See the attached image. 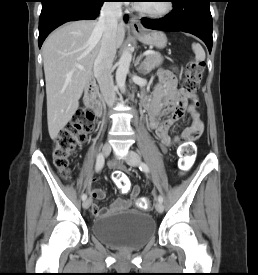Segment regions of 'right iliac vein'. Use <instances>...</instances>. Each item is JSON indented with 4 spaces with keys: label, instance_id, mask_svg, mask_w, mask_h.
I'll list each match as a JSON object with an SVG mask.
<instances>
[{
    "label": "right iliac vein",
    "instance_id": "63e3f726",
    "mask_svg": "<svg viewBox=\"0 0 258 275\" xmlns=\"http://www.w3.org/2000/svg\"><path fill=\"white\" fill-rule=\"evenodd\" d=\"M110 152H111V145L108 142H106L102 147V154L106 157L110 154ZM90 205H91L90 199L84 200V202L82 204L84 209H88L90 207Z\"/></svg>",
    "mask_w": 258,
    "mask_h": 275
}]
</instances>
